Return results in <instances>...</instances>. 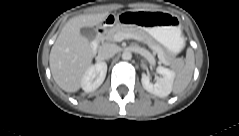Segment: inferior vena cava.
Wrapping results in <instances>:
<instances>
[{"label":"inferior vena cava","mask_w":239,"mask_h":136,"mask_svg":"<svg viewBox=\"0 0 239 136\" xmlns=\"http://www.w3.org/2000/svg\"><path fill=\"white\" fill-rule=\"evenodd\" d=\"M118 51V46L115 44L105 43L98 49V58L100 60H107L113 57Z\"/></svg>","instance_id":"1"}]
</instances>
